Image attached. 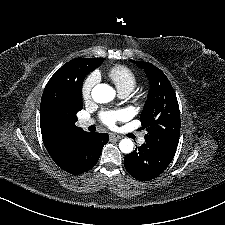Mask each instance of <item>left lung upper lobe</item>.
<instances>
[{"instance_id":"left-lung-upper-lobe-1","label":"left lung upper lobe","mask_w":225,"mask_h":225,"mask_svg":"<svg viewBox=\"0 0 225 225\" xmlns=\"http://www.w3.org/2000/svg\"><path fill=\"white\" fill-rule=\"evenodd\" d=\"M144 69L150 91L140 120L148 132L145 142H157L177 148L180 136V112L175 91L165 74L151 63L130 60Z\"/></svg>"}]
</instances>
